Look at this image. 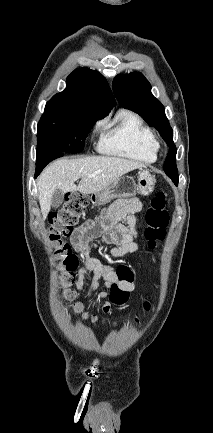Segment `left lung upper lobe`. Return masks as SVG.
Wrapping results in <instances>:
<instances>
[{
    "mask_svg": "<svg viewBox=\"0 0 213 433\" xmlns=\"http://www.w3.org/2000/svg\"><path fill=\"white\" fill-rule=\"evenodd\" d=\"M113 91L122 107L138 113L170 146L163 169L177 186L178 170L175 163L176 146L173 143V130L165 115L164 106L152 95L148 80L140 72L118 75L113 81Z\"/></svg>",
    "mask_w": 213,
    "mask_h": 433,
    "instance_id": "obj_1",
    "label": "left lung upper lobe"
}]
</instances>
